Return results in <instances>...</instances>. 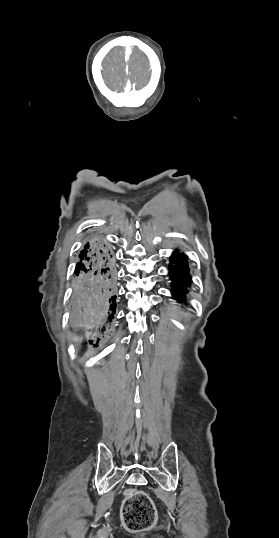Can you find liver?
Here are the masks:
<instances>
[{
  "mask_svg": "<svg viewBox=\"0 0 279 538\" xmlns=\"http://www.w3.org/2000/svg\"><path fill=\"white\" fill-rule=\"evenodd\" d=\"M74 342H79V338H74Z\"/></svg>",
  "mask_w": 279,
  "mask_h": 538,
  "instance_id": "liver-1",
  "label": "liver"
}]
</instances>
